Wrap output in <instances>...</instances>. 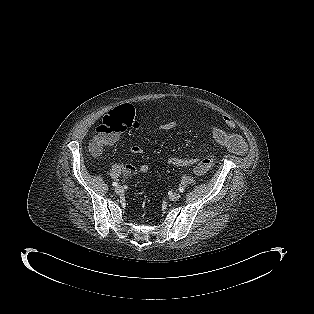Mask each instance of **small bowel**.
Listing matches in <instances>:
<instances>
[{
	"label": "small bowel",
	"mask_w": 314,
	"mask_h": 314,
	"mask_svg": "<svg viewBox=\"0 0 314 314\" xmlns=\"http://www.w3.org/2000/svg\"><path fill=\"white\" fill-rule=\"evenodd\" d=\"M224 125L231 129L233 128V122L231 119L224 117L223 118ZM175 126L174 121H167L160 125L161 130H170ZM211 135L213 139L223 148L227 149L230 152L237 153V154H244L247 151V144L243 140V138L231 131H227L223 129L220 126H213L211 128ZM120 139V136H116L115 139L107 144V145H113ZM131 153L134 155H139L144 152L143 147L139 145H133L130 149ZM197 162L196 157H172L169 159V163L172 166L176 167H188L192 166ZM147 171V166L141 165V166H134L131 164H127L125 166V173L127 175H136L138 173H143Z\"/></svg>",
	"instance_id": "small-bowel-1"
}]
</instances>
